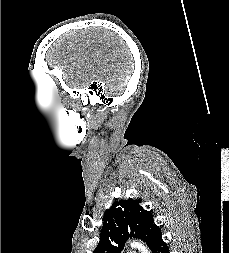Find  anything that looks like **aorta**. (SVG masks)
Instances as JSON below:
<instances>
[{
	"mask_svg": "<svg viewBox=\"0 0 229 253\" xmlns=\"http://www.w3.org/2000/svg\"><path fill=\"white\" fill-rule=\"evenodd\" d=\"M131 245L132 247L137 248L141 253H150L147 246H145L144 244L140 242H133Z\"/></svg>",
	"mask_w": 229,
	"mask_h": 253,
	"instance_id": "1",
	"label": "aorta"
}]
</instances>
